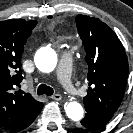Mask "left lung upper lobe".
Returning <instances> with one entry per match:
<instances>
[{
	"label": "left lung upper lobe",
	"instance_id": "left-lung-upper-lobe-1",
	"mask_svg": "<svg viewBox=\"0 0 133 133\" xmlns=\"http://www.w3.org/2000/svg\"><path fill=\"white\" fill-rule=\"evenodd\" d=\"M78 33L86 51L89 88L85 108L114 114L124 96L128 61L114 31L99 19L77 15Z\"/></svg>",
	"mask_w": 133,
	"mask_h": 133
}]
</instances>
